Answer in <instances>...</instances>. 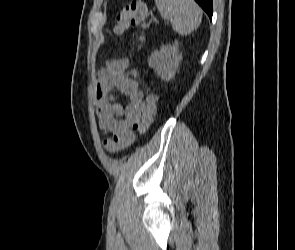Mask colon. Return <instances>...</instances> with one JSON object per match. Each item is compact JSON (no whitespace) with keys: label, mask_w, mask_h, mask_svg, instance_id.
<instances>
[{"label":"colon","mask_w":295,"mask_h":250,"mask_svg":"<svg viewBox=\"0 0 295 250\" xmlns=\"http://www.w3.org/2000/svg\"><path fill=\"white\" fill-rule=\"evenodd\" d=\"M147 16V8L143 2L133 1L126 5L121 11L117 12L114 18V33L122 34L130 27L139 29V33L135 38L137 48H140L144 40L143 28L145 27V18ZM156 96L149 92L146 97V110L143 118L138 123L136 130L143 134L151 125L156 113ZM104 147L108 153H115L123 149L122 143L118 140L108 139L104 141Z\"/></svg>","instance_id":"5ec220e1"}]
</instances>
